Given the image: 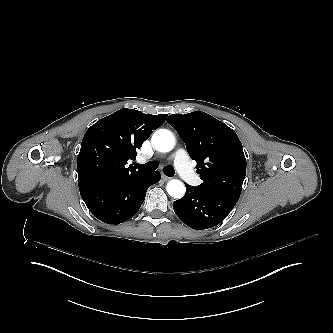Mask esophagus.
I'll use <instances>...</instances> for the list:
<instances>
[{"instance_id": "1", "label": "esophagus", "mask_w": 333, "mask_h": 333, "mask_svg": "<svg viewBox=\"0 0 333 333\" xmlns=\"http://www.w3.org/2000/svg\"><path fill=\"white\" fill-rule=\"evenodd\" d=\"M162 179H163L165 182H167V181H169L171 178H170V177H167V176H165V175H162Z\"/></svg>"}]
</instances>
